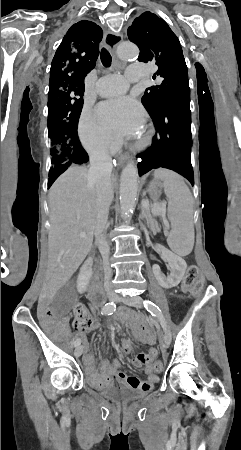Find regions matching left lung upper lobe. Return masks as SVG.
Here are the masks:
<instances>
[{
	"instance_id": "1",
	"label": "left lung upper lobe",
	"mask_w": 241,
	"mask_h": 450,
	"mask_svg": "<svg viewBox=\"0 0 241 450\" xmlns=\"http://www.w3.org/2000/svg\"><path fill=\"white\" fill-rule=\"evenodd\" d=\"M128 38L140 49L138 60L154 62L159 67L156 74L163 78L160 85L147 88L142 97V104L151 117L166 106L190 97L182 48L165 21L151 12H144L128 28Z\"/></svg>"
}]
</instances>
